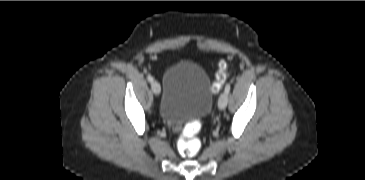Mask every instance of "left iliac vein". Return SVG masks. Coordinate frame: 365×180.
I'll return each instance as SVG.
<instances>
[{
  "instance_id": "4c4485c4",
  "label": "left iliac vein",
  "mask_w": 365,
  "mask_h": 180,
  "mask_svg": "<svg viewBox=\"0 0 365 180\" xmlns=\"http://www.w3.org/2000/svg\"><path fill=\"white\" fill-rule=\"evenodd\" d=\"M227 103H228V94L224 91L220 95L219 100H218L219 109H221V110L225 109L227 106Z\"/></svg>"
}]
</instances>
